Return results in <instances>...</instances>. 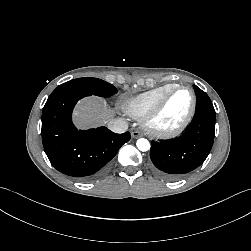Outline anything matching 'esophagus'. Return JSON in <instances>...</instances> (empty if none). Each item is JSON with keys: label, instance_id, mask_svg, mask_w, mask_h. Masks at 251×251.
<instances>
[{"label": "esophagus", "instance_id": "esophagus-1", "mask_svg": "<svg viewBox=\"0 0 251 251\" xmlns=\"http://www.w3.org/2000/svg\"><path fill=\"white\" fill-rule=\"evenodd\" d=\"M131 136H132V138L137 139V138H139V137H142L143 134H142L140 131H133V132L131 133Z\"/></svg>", "mask_w": 251, "mask_h": 251}]
</instances>
